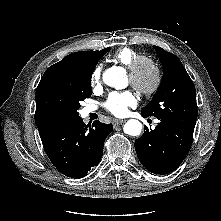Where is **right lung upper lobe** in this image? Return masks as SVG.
<instances>
[{
  "label": "right lung upper lobe",
  "instance_id": "1",
  "mask_svg": "<svg viewBox=\"0 0 221 221\" xmlns=\"http://www.w3.org/2000/svg\"><path fill=\"white\" fill-rule=\"evenodd\" d=\"M110 48H105L101 51H80L67 55L58 63L50 66L44 73L38 87L40 88L48 79L59 76H72L81 71H85L94 61L103 57ZM38 130L51 126V124L40 123L36 121Z\"/></svg>",
  "mask_w": 221,
  "mask_h": 221
}]
</instances>
